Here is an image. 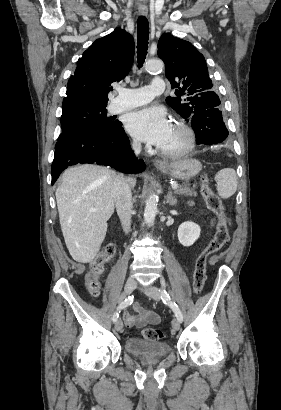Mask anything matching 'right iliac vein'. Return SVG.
Segmentation results:
<instances>
[{
  "label": "right iliac vein",
  "instance_id": "63e3f726",
  "mask_svg": "<svg viewBox=\"0 0 281 410\" xmlns=\"http://www.w3.org/2000/svg\"><path fill=\"white\" fill-rule=\"evenodd\" d=\"M136 287V283L133 281H127L124 287V291L126 295H129L133 292ZM115 330L117 332H121L123 330V322L121 319H118L115 323Z\"/></svg>",
  "mask_w": 281,
  "mask_h": 410
}]
</instances>
